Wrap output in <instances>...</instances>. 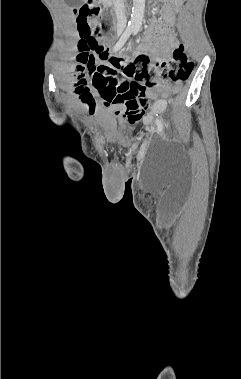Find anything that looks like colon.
Listing matches in <instances>:
<instances>
[{
	"label": "colon",
	"instance_id": "1",
	"mask_svg": "<svg viewBox=\"0 0 241 379\" xmlns=\"http://www.w3.org/2000/svg\"><path fill=\"white\" fill-rule=\"evenodd\" d=\"M76 12L84 40L77 59L75 91L91 111L96 104L93 90L110 101L116 93L135 89L140 83H149L150 86L160 81L179 84L191 73L193 63L189 61L183 45L174 49L171 59L156 61L153 65L148 55L142 52L131 60L121 55H110L95 23L101 15V0H87ZM129 78H134V82ZM162 92L167 93L168 89L163 88Z\"/></svg>",
	"mask_w": 241,
	"mask_h": 379
}]
</instances>
